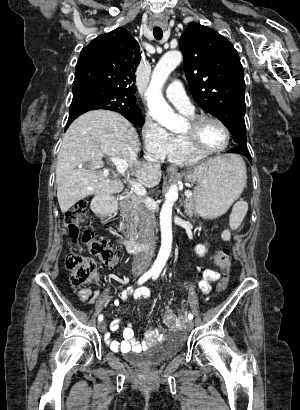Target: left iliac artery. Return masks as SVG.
<instances>
[{
    "label": "left iliac artery",
    "mask_w": 300,
    "mask_h": 410,
    "mask_svg": "<svg viewBox=\"0 0 300 410\" xmlns=\"http://www.w3.org/2000/svg\"><path fill=\"white\" fill-rule=\"evenodd\" d=\"M158 276H159V273H154V274H153V279H154V280L157 279ZM188 319H189V320H192V319H193V314H192V313H189V314H188Z\"/></svg>",
    "instance_id": "1"
}]
</instances>
